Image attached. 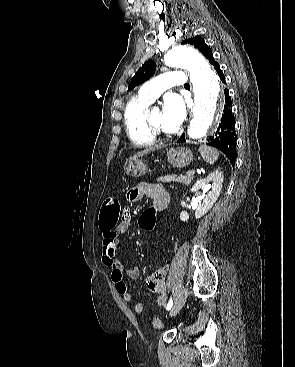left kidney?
<instances>
[{
	"mask_svg": "<svg viewBox=\"0 0 295 367\" xmlns=\"http://www.w3.org/2000/svg\"><path fill=\"white\" fill-rule=\"evenodd\" d=\"M223 173L216 170L209 174L206 178L198 180L193 187L191 192H198L200 189L207 191V194L201 195V201L199 202L195 211V218L199 219L204 216L217 201L223 184ZM189 214L186 211L180 213V220L185 222L188 221Z\"/></svg>",
	"mask_w": 295,
	"mask_h": 367,
	"instance_id": "1",
	"label": "left kidney"
}]
</instances>
